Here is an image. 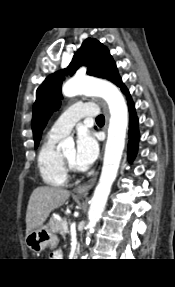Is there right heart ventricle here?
Segmentation results:
<instances>
[{
	"instance_id": "e07e8e85",
	"label": "right heart ventricle",
	"mask_w": 175,
	"mask_h": 287,
	"mask_svg": "<svg viewBox=\"0 0 175 287\" xmlns=\"http://www.w3.org/2000/svg\"><path fill=\"white\" fill-rule=\"evenodd\" d=\"M61 137L49 133L43 141L37 158L40 176L44 183L61 187L68 182V172L63 164L57 143Z\"/></svg>"
}]
</instances>
